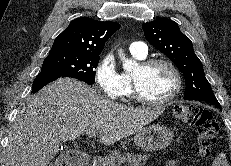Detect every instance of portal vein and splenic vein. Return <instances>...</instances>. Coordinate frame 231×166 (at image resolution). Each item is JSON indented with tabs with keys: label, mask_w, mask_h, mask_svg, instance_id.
I'll list each match as a JSON object with an SVG mask.
<instances>
[{
	"label": "portal vein and splenic vein",
	"mask_w": 231,
	"mask_h": 166,
	"mask_svg": "<svg viewBox=\"0 0 231 166\" xmlns=\"http://www.w3.org/2000/svg\"><path fill=\"white\" fill-rule=\"evenodd\" d=\"M95 134H96L95 131H91V132H88V133H87V135H88L89 137H92V136L95 135Z\"/></svg>",
	"instance_id": "1"
}]
</instances>
